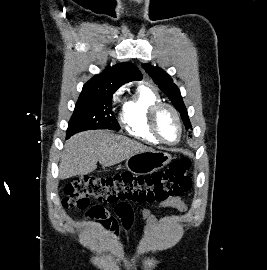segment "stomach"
I'll use <instances>...</instances> for the list:
<instances>
[{"mask_svg": "<svg viewBox=\"0 0 267 270\" xmlns=\"http://www.w3.org/2000/svg\"><path fill=\"white\" fill-rule=\"evenodd\" d=\"M171 159V155L164 151H143L129 157L125 167L130 173L149 174L163 168Z\"/></svg>", "mask_w": 267, "mask_h": 270, "instance_id": "stomach-1", "label": "stomach"}]
</instances>
